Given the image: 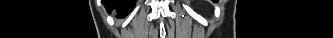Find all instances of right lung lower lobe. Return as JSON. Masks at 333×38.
Wrapping results in <instances>:
<instances>
[{
    "label": "right lung lower lobe",
    "mask_w": 333,
    "mask_h": 38,
    "mask_svg": "<svg viewBox=\"0 0 333 38\" xmlns=\"http://www.w3.org/2000/svg\"><path fill=\"white\" fill-rule=\"evenodd\" d=\"M133 3H134V1H121V2H119V3L112 4V6H114V5H118L119 7L125 9V5H126V4H133ZM110 7H111V6H110Z\"/></svg>",
    "instance_id": "obj_1"
}]
</instances>
